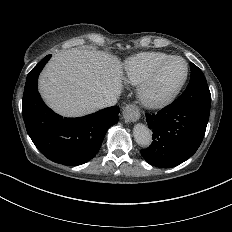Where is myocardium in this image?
<instances>
[{
    "mask_svg": "<svg viewBox=\"0 0 232 232\" xmlns=\"http://www.w3.org/2000/svg\"><path fill=\"white\" fill-rule=\"evenodd\" d=\"M174 61H183L186 65V72L181 80V82L170 92H168L165 96L158 100H150L146 97V91L149 88V86L154 82V80L158 77V75L172 62ZM189 63L184 58L178 57V56H172L162 64L158 65L156 68H154L137 86L136 89V98L139 104L150 110H160L168 105H170L175 98L178 96L184 85L186 84L188 77H189Z\"/></svg>",
    "mask_w": 232,
    "mask_h": 232,
    "instance_id": "f54148a6",
    "label": "myocardium"
}]
</instances>
